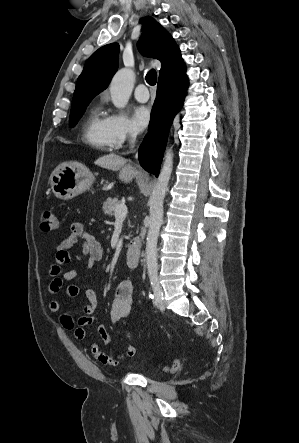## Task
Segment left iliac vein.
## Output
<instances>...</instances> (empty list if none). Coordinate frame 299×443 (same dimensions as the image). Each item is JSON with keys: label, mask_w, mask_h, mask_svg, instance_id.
Returning a JSON list of instances; mask_svg holds the SVG:
<instances>
[{"label": "left iliac vein", "mask_w": 299, "mask_h": 443, "mask_svg": "<svg viewBox=\"0 0 299 443\" xmlns=\"http://www.w3.org/2000/svg\"><path fill=\"white\" fill-rule=\"evenodd\" d=\"M161 289V288H160ZM161 292L163 294V290L161 289ZM159 309L164 310L165 309V303L163 300H161L158 304Z\"/></svg>", "instance_id": "4c4485c4"}]
</instances>
